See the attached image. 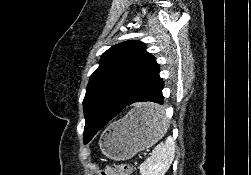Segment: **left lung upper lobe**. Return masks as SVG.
<instances>
[{
	"label": "left lung upper lobe",
	"instance_id": "1",
	"mask_svg": "<svg viewBox=\"0 0 251 175\" xmlns=\"http://www.w3.org/2000/svg\"><path fill=\"white\" fill-rule=\"evenodd\" d=\"M157 66L145 44L137 40L119 43L103 53L99 67L90 77L83 100L85 144L104 127L93 117L94 112L111 103L120 105L127 102L137 84Z\"/></svg>",
	"mask_w": 251,
	"mask_h": 175
}]
</instances>
